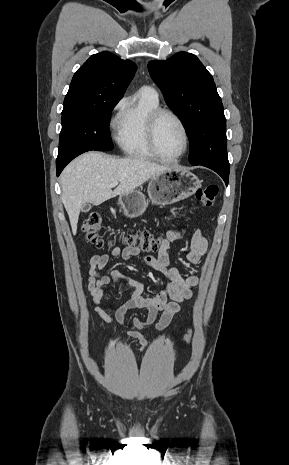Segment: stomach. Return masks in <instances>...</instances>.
<instances>
[{
	"instance_id": "stomach-1",
	"label": "stomach",
	"mask_w": 289,
	"mask_h": 465,
	"mask_svg": "<svg viewBox=\"0 0 289 465\" xmlns=\"http://www.w3.org/2000/svg\"><path fill=\"white\" fill-rule=\"evenodd\" d=\"M200 186L201 181L195 174L181 167H170L150 179L147 192L153 204L164 206L188 198ZM147 204L144 194L139 190L121 195L117 203L119 211L128 218L141 216Z\"/></svg>"
}]
</instances>
